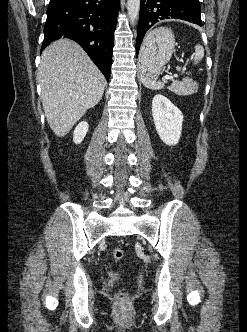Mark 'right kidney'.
<instances>
[{"label":"right kidney","mask_w":247,"mask_h":332,"mask_svg":"<svg viewBox=\"0 0 247 332\" xmlns=\"http://www.w3.org/2000/svg\"><path fill=\"white\" fill-rule=\"evenodd\" d=\"M89 125L87 122H80L74 132H73V141L75 144H80L88 132Z\"/></svg>","instance_id":"1"}]
</instances>
